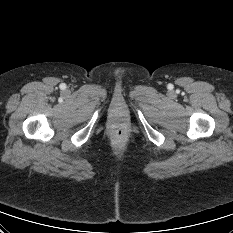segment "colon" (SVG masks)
Listing matches in <instances>:
<instances>
[{
	"label": "colon",
	"mask_w": 233,
	"mask_h": 233,
	"mask_svg": "<svg viewBox=\"0 0 233 233\" xmlns=\"http://www.w3.org/2000/svg\"><path fill=\"white\" fill-rule=\"evenodd\" d=\"M115 133H116L117 135H121V133H122V128H121V127L117 128L116 131H115Z\"/></svg>",
	"instance_id": "1"
}]
</instances>
